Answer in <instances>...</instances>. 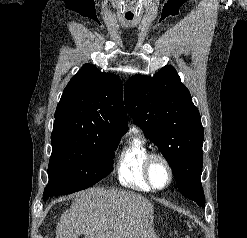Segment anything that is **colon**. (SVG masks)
Listing matches in <instances>:
<instances>
[{
  "label": "colon",
  "mask_w": 247,
  "mask_h": 238,
  "mask_svg": "<svg viewBox=\"0 0 247 238\" xmlns=\"http://www.w3.org/2000/svg\"><path fill=\"white\" fill-rule=\"evenodd\" d=\"M182 238H189V237L185 236V237H182Z\"/></svg>",
  "instance_id": "5ec220e1"
}]
</instances>
